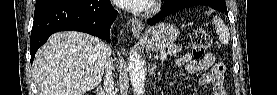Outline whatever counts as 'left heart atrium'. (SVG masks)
Wrapping results in <instances>:
<instances>
[{
    "mask_svg": "<svg viewBox=\"0 0 277 95\" xmlns=\"http://www.w3.org/2000/svg\"><path fill=\"white\" fill-rule=\"evenodd\" d=\"M117 2L123 8L141 11L150 3V0H118Z\"/></svg>",
    "mask_w": 277,
    "mask_h": 95,
    "instance_id": "left-heart-atrium-1",
    "label": "left heart atrium"
}]
</instances>
